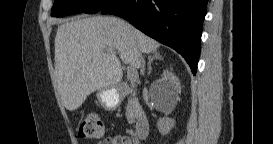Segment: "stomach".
I'll use <instances>...</instances> for the list:
<instances>
[{"mask_svg":"<svg viewBox=\"0 0 273 144\" xmlns=\"http://www.w3.org/2000/svg\"><path fill=\"white\" fill-rule=\"evenodd\" d=\"M97 99L105 110L113 111L117 109L121 103V92L116 88L99 90Z\"/></svg>","mask_w":273,"mask_h":144,"instance_id":"1","label":"stomach"}]
</instances>
